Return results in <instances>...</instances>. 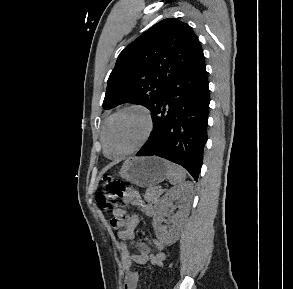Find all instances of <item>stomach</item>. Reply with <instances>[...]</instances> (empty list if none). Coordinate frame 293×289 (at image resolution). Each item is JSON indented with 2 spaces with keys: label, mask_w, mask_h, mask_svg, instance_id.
Returning a JSON list of instances; mask_svg holds the SVG:
<instances>
[{
  "label": "stomach",
  "mask_w": 293,
  "mask_h": 289,
  "mask_svg": "<svg viewBox=\"0 0 293 289\" xmlns=\"http://www.w3.org/2000/svg\"><path fill=\"white\" fill-rule=\"evenodd\" d=\"M119 173L128 182L147 187L167 177V166L165 160L158 157H131L125 160Z\"/></svg>",
  "instance_id": "1"
}]
</instances>
